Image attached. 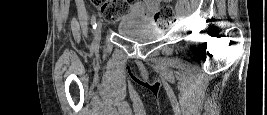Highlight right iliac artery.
<instances>
[{"label": "right iliac artery", "instance_id": "82829eb1", "mask_svg": "<svg viewBox=\"0 0 267 115\" xmlns=\"http://www.w3.org/2000/svg\"><path fill=\"white\" fill-rule=\"evenodd\" d=\"M91 24H92V29L95 30L96 27H97L96 16L95 15H93L92 18H91Z\"/></svg>", "mask_w": 267, "mask_h": 115}]
</instances>
